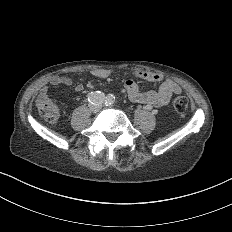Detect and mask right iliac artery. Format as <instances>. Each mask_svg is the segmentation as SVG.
Listing matches in <instances>:
<instances>
[{"instance_id":"82829eb1","label":"right iliac artery","mask_w":232,"mask_h":232,"mask_svg":"<svg viewBox=\"0 0 232 232\" xmlns=\"http://www.w3.org/2000/svg\"><path fill=\"white\" fill-rule=\"evenodd\" d=\"M87 100L93 105H100L104 103L105 96L101 91H92L87 94Z\"/></svg>"}]
</instances>
